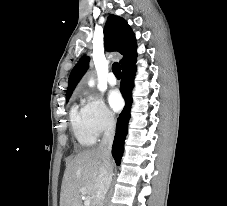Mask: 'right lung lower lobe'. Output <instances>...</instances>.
<instances>
[{
  "label": "right lung lower lobe",
  "mask_w": 227,
  "mask_h": 206,
  "mask_svg": "<svg viewBox=\"0 0 227 206\" xmlns=\"http://www.w3.org/2000/svg\"><path fill=\"white\" fill-rule=\"evenodd\" d=\"M136 61L122 68V81L121 91L125 99L126 105L119 115L115 139L112 147V155L117 165H120V161L124 151V140L128 131V122L130 119V109L132 104V89L134 87V77L136 72Z\"/></svg>",
  "instance_id": "1"
}]
</instances>
